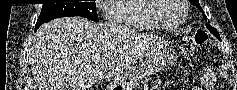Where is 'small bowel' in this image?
<instances>
[{
    "label": "small bowel",
    "mask_w": 237,
    "mask_h": 90,
    "mask_svg": "<svg viewBox=\"0 0 237 90\" xmlns=\"http://www.w3.org/2000/svg\"><path fill=\"white\" fill-rule=\"evenodd\" d=\"M187 73V72H186ZM161 79H157L156 83L150 90L160 89ZM215 84V75L210 70H205L201 76V84L190 88V90H212Z\"/></svg>",
    "instance_id": "small-bowel-1"
}]
</instances>
